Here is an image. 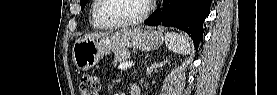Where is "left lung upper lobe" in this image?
I'll use <instances>...</instances> for the list:
<instances>
[{"instance_id":"5c2ea615","label":"left lung upper lobe","mask_w":277,"mask_h":95,"mask_svg":"<svg viewBox=\"0 0 277 95\" xmlns=\"http://www.w3.org/2000/svg\"><path fill=\"white\" fill-rule=\"evenodd\" d=\"M87 1H88V0H80L81 10L84 9V7H85Z\"/></svg>"}]
</instances>
